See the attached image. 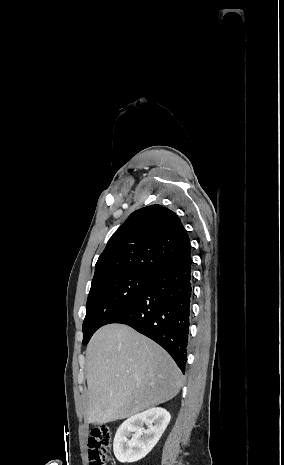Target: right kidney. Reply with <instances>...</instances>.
Masks as SVG:
<instances>
[{"label":"right kidney","instance_id":"ca27d5eb","mask_svg":"<svg viewBox=\"0 0 284 465\" xmlns=\"http://www.w3.org/2000/svg\"><path fill=\"white\" fill-rule=\"evenodd\" d=\"M170 419L166 409L155 407L124 421L114 437L113 451L117 461L135 463L146 457L158 443ZM143 425L148 429H143Z\"/></svg>","mask_w":284,"mask_h":465}]
</instances>
